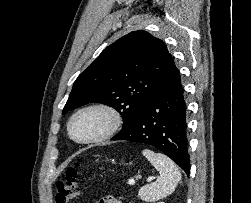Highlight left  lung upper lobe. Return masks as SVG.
Segmentation results:
<instances>
[{"label": "left lung upper lobe", "mask_w": 251, "mask_h": 203, "mask_svg": "<svg viewBox=\"0 0 251 203\" xmlns=\"http://www.w3.org/2000/svg\"><path fill=\"white\" fill-rule=\"evenodd\" d=\"M172 60L163 41L143 30L130 32L106 47L78 76L62 114L103 103L121 114V133L133 123Z\"/></svg>", "instance_id": "1"}]
</instances>
